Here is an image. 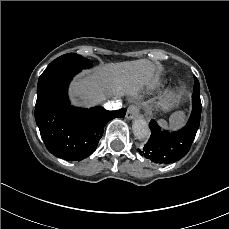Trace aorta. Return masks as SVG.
I'll list each match as a JSON object with an SVG mask.
<instances>
[{
    "instance_id": "obj_1",
    "label": "aorta",
    "mask_w": 229,
    "mask_h": 229,
    "mask_svg": "<svg viewBox=\"0 0 229 229\" xmlns=\"http://www.w3.org/2000/svg\"><path fill=\"white\" fill-rule=\"evenodd\" d=\"M132 130L135 138L138 140H146L150 135L148 123L141 118L134 120Z\"/></svg>"
}]
</instances>
